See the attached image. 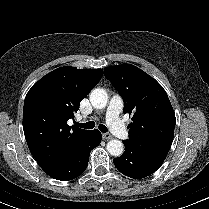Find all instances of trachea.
<instances>
[{"label":"trachea","mask_w":209,"mask_h":209,"mask_svg":"<svg viewBox=\"0 0 209 209\" xmlns=\"http://www.w3.org/2000/svg\"><path fill=\"white\" fill-rule=\"evenodd\" d=\"M76 125L80 128H84V129H93L95 127V122L94 121H89L86 123H76ZM99 130L103 133L107 132V127L103 124L99 125Z\"/></svg>","instance_id":"obj_1"}]
</instances>
